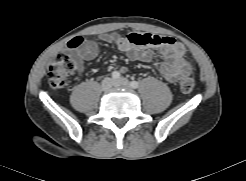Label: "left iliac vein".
<instances>
[{
    "label": "left iliac vein",
    "mask_w": 246,
    "mask_h": 181,
    "mask_svg": "<svg viewBox=\"0 0 246 181\" xmlns=\"http://www.w3.org/2000/svg\"><path fill=\"white\" fill-rule=\"evenodd\" d=\"M115 87H124V88H129L130 83L126 78H120L114 82Z\"/></svg>",
    "instance_id": "1"
}]
</instances>
